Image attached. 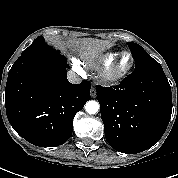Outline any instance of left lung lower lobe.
<instances>
[{
	"instance_id": "left-lung-lower-lobe-1",
	"label": "left lung lower lobe",
	"mask_w": 178,
	"mask_h": 178,
	"mask_svg": "<svg viewBox=\"0 0 178 178\" xmlns=\"http://www.w3.org/2000/svg\"><path fill=\"white\" fill-rule=\"evenodd\" d=\"M105 137L122 153L142 152L164 134L172 112L171 87L160 64L133 71L117 86L98 85Z\"/></svg>"
}]
</instances>
